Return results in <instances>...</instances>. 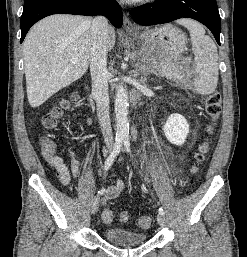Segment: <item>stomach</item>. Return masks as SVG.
Segmentation results:
<instances>
[{
  "label": "stomach",
  "instance_id": "0dacf381",
  "mask_svg": "<svg viewBox=\"0 0 247 257\" xmlns=\"http://www.w3.org/2000/svg\"><path fill=\"white\" fill-rule=\"evenodd\" d=\"M130 36L138 44L137 50L132 53L137 66L147 70L169 64L175 69L169 76L170 79L179 81L188 88L194 85V72L179 62L186 45V37L181 30L168 24L131 33Z\"/></svg>",
  "mask_w": 247,
  "mask_h": 257
}]
</instances>
